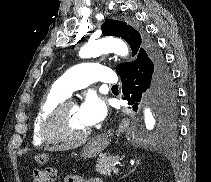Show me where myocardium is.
Segmentation results:
<instances>
[{"label": "myocardium", "instance_id": "1", "mask_svg": "<svg viewBox=\"0 0 211 182\" xmlns=\"http://www.w3.org/2000/svg\"><path fill=\"white\" fill-rule=\"evenodd\" d=\"M75 105L70 101L59 103L45 119L41 133L47 142H79L84 141L91 134V129L78 135H70L63 131L62 120L68 106Z\"/></svg>", "mask_w": 211, "mask_h": 182}]
</instances>
